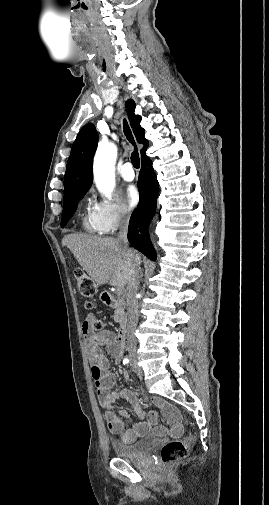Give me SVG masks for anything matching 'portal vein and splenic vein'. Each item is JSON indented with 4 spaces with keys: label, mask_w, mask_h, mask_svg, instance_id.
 Wrapping results in <instances>:
<instances>
[{
    "label": "portal vein and splenic vein",
    "mask_w": 269,
    "mask_h": 505,
    "mask_svg": "<svg viewBox=\"0 0 269 505\" xmlns=\"http://www.w3.org/2000/svg\"><path fill=\"white\" fill-rule=\"evenodd\" d=\"M116 291H117L118 294H122L123 293V287L117 286V290Z\"/></svg>",
    "instance_id": "18ae733b"
}]
</instances>
